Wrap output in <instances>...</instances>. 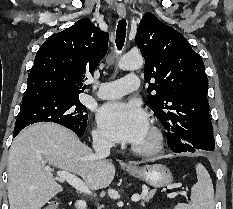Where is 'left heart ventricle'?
<instances>
[{
  "instance_id": "b2bd125f",
  "label": "left heart ventricle",
  "mask_w": 233,
  "mask_h": 209,
  "mask_svg": "<svg viewBox=\"0 0 233 209\" xmlns=\"http://www.w3.org/2000/svg\"><path fill=\"white\" fill-rule=\"evenodd\" d=\"M151 139V134H150V130H149V126L147 128V130L145 131V133L143 134V136L134 144L136 145H146L150 142Z\"/></svg>"
}]
</instances>
